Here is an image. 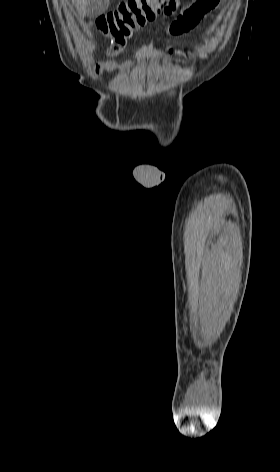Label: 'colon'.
I'll return each instance as SVG.
<instances>
[{"instance_id": "1", "label": "colon", "mask_w": 280, "mask_h": 472, "mask_svg": "<svg viewBox=\"0 0 280 472\" xmlns=\"http://www.w3.org/2000/svg\"><path fill=\"white\" fill-rule=\"evenodd\" d=\"M218 1L208 0L205 6L212 8ZM181 2L182 0H127L114 10L98 17L94 27L108 37L111 54H118L136 29L160 15L173 14L180 8Z\"/></svg>"}]
</instances>
